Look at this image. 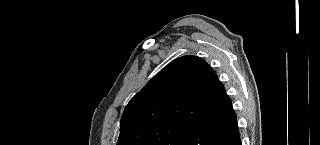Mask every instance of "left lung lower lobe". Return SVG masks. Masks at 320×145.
<instances>
[{
  "instance_id": "obj_1",
  "label": "left lung lower lobe",
  "mask_w": 320,
  "mask_h": 145,
  "mask_svg": "<svg viewBox=\"0 0 320 145\" xmlns=\"http://www.w3.org/2000/svg\"><path fill=\"white\" fill-rule=\"evenodd\" d=\"M209 93L212 100L210 110L187 132L181 145H241L231 100L215 73Z\"/></svg>"
}]
</instances>
